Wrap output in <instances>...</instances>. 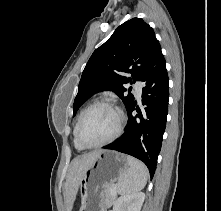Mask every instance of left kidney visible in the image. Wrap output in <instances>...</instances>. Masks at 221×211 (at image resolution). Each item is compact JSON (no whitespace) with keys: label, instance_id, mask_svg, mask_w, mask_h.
Instances as JSON below:
<instances>
[{"label":"left kidney","instance_id":"1","mask_svg":"<svg viewBox=\"0 0 221 211\" xmlns=\"http://www.w3.org/2000/svg\"><path fill=\"white\" fill-rule=\"evenodd\" d=\"M144 199L143 192L121 196L115 201L113 211H140Z\"/></svg>","mask_w":221,"mask_h":211}]
</instances>
